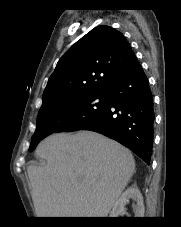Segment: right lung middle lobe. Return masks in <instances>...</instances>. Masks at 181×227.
I'll list each match as a JSON object with an SVG mask.
<instances>
[{"label": "right lung middle lobe", "instance_id": "1", "mask_svg": "<svg viewBox=\"0 0 181 227\" xmlns=\"http://www.w3.org/2000/svg\"><path fill=\"white\" fill-rule=\"evenodd\" d=\"M108 103L109 92L104 90L41 109L29 151H33L42 139L53 133L83 129L106 109Z\"/></svg>", "mask_w": 181, "mask_h": 227}]
</instances>
